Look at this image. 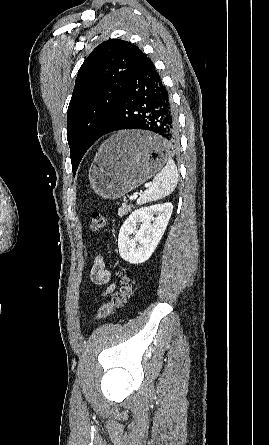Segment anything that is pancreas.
<instances>
[{
	"label": "pancreas",
	"mask_w": 269,
	"mask_h": 445,
	"mask_svg": "<svg viewBox=\"0 0 269 445\" xmlns=\"http://www.w3.org/2000/svg\"><path fill=\"white\" fill-rule=\"evenodd\" d=\"M132 206L131 205H127L126 203L122 204V207L119 208L118 210V215L120 217L126 215L129 211H131Z\"/></svg>",
	"instance_id": "cf45deb5"
}]
</instances>
